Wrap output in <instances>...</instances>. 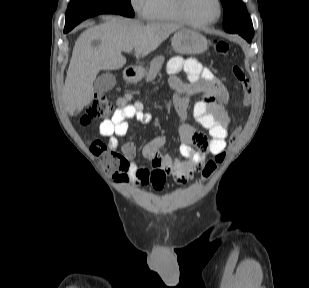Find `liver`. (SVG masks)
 Returning <instances> with one entry per match:
<instances>
[{"label": "liver", "instance_id": "liver-1", "mask_svg": "<svg viewBox=\"0 0 309 288\" xmlns=\"http://www.w3.org/2000/svg\"><path fill=\"white\" fill-rule=\"evenodd\" d=\"M179 28L170 23L143 24L111 17L86 29L75 43L65 79L63 102L66 111L73 116L92 102L97 74L101 70H118L126 64L121 54L124 47H133L135 57L143 58Z\"/></svg>", "mask_w": 309, "mask_h": 288}]
</instances>
